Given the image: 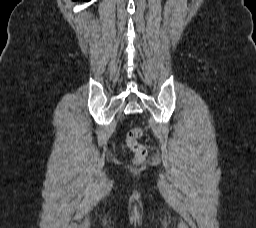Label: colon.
I'll return each mask as SVG.
<instances>
[{
	"label": "colon",
	"instance_id": "obj_1",
	"mask_svg": "<svg viewBox=\"0 0 256 228\" xmlns=\"http://www.w3.org/2000/svg\"><path fill=\"white\" fill-rule=\"evenodd\" d=\"M142 129L135 127L131 129L126 136V143L134 153L133 161L135 164H141L147 157V149L139 140L142 137Z\"/></svg>",
	"mask_w": 256,
	"mask_h": 228
}]
</instances>
